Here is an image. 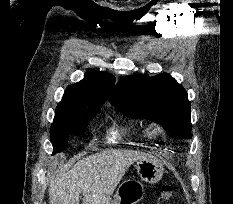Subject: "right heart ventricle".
Listing matches in <instances>:
<instances>
[{
	"label": "right heart ventricle",
	"instance_id": "e07e8e85",
	"mask_svg": "<svg viewBox=\"0 0 233 204\" xmlns=\"http://www.w3.org/2000/svg\"><path fill=\"white\" fill-rule=\"evenodd\" d=\"M122 136H127L131 139H135L138 141H142L147 138V135L145 134L144 131H137V132L129 133L123 127L118 126V125L112 127L109 130L107 138L109 141H116L120 139Z\"/></svg>",
	"mask_w": 233,
	"mask_h": 204
}]
</instances>
